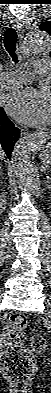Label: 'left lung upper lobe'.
Masks as SVG:
<instances>
[{"label": "left lung upper lobe", "instance_id": "left-lung-upper-lobe-1", "mask_svg": "<svg viewBox=\"0 0 51 393\" xmlns=\"http://www.w3.org/2000/svg\"><path fill=\"white\" fill-rule=\"evenodd\" d=\"M39 29L46 31L51 35V21H46V22L41 23L39 25ZM50 56H51V53H50Z\"/></svg>", "mask_w": 51, "mask_h": 393}]
</instances>
